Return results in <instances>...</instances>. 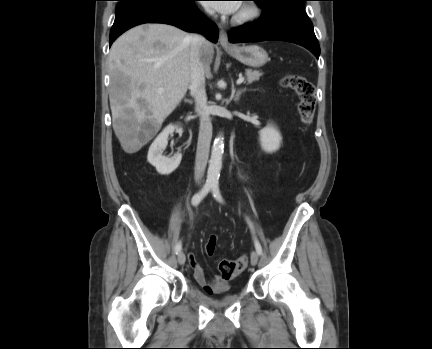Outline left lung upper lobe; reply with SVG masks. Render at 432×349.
Segmentation results:
<instances>
[{
	"label": "left lung upper lobe",
	"instance_id": "1",
	"mask_svg": "<svg viewBox=\"0 0 432 349\" xmlns=\"http://www.w3.org/2000/svg\"><path fill=\"white\" fill-rule=\"evenodd\" d=\"M256 1L262 9H265L273 4H278L287 7H294L304 10V1L307 0H253Z\"/></svg>",
	"mask_w": 432,
	"mask_h": 349
}]
</instances>
